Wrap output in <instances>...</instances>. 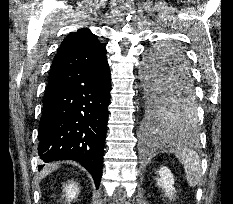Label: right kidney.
I'll use <instances>...</instances> for the list:
<instances>
[{"instance_id": "right-kidney-1", "label": "right kidney", "mask_w": 233, "mask_h": 204, "mask_svg": "<svg viewBox=\"0 0 233 204\" xmlns=\"http://www.w3.org/2000/svg\"><path fill=\"white\" fill-rule=\"evenodd\" d=\"M64 192L66 193L65 197L67 198L68 202H70L78 195L79 187L76 183L71 182L64 187Z\"/></svg>"}]
</instances>
